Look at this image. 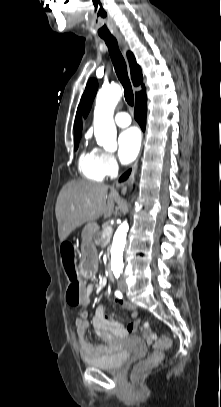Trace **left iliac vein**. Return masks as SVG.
<instances>
[{
    "label": "left iliac vein",
    "instance_id": "1",
    "mask_svg": "<svg viewBox=\"0 0 221 407\" xmlns=\"http://www.w3.org/2000/svg\"><path fill=\"white\" fill-rule=\"evenodd\" d=\"M120 290H121L122 292H125V291H126V284H125L124 282H122V283L120 284Z\"/></svg>",
    "mask_w": 221,
    "mask_h": 407
}]
</instances>
